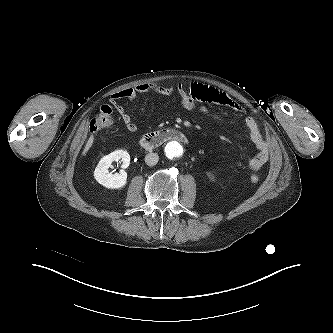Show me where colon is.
Here are the masks:
<instances>
[{
  "mask_svg": "<svg viewBox=\"0 0 333 333\" xmlns=\"http://www.w3.org/2000/svg\"><path fill=\"white\" fill-rule=\"evenodd\" d=\"M114 123V117L111 107L103 105L98 113L93 117L90 123V130L93 133H102L109 130ZM251 182L257 183L259 176L256 174L251 175Z\"/></svg>",
  "mask_w": 333,
  "mask_h": 333,
  "instance_id": "obj_1",
  "label": "colon"
}]
</instances>
